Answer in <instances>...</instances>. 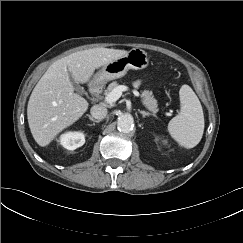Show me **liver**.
Listing matches in <instances>:
<instances>
[{"instance_id": "6515ba94", "label": "liver", "mask_w": 243, "mask_h": 243, "mask_svg": "<svg viewBox=\"0 0 243 243\" xmlns=\"http://www.w3.org/2000/svg\"><path fill=\"white\" fill-rule=\"evenodd\" d=\"M127 53L126 50L93 48L55 61L33 89L27 106L30 131L44 147L87 111L89 103L74 92L69 73L77 83H87L94 71Z\"/></svg>"}]
</instances>
